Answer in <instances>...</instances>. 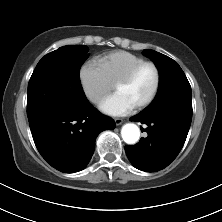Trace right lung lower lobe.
<instances>
[{
	"label": "right lung lower lobe",
	"mask_w": 222,
	"mask_h": 222,
	"mask_svg": "<svg viewBox=\"0 0 222 222\" xmlns=\"http://www.w3.org/2000/svg\"><path fill=\"white\" fill-rule=\"evenodd\" d=\"M27 116L41 156L64 173L83 170L93 155L98 134L115 128V122L88 100L71 108H36L27 111Z\"/></svg>",
	"instance_id": "98d812e1"
}]
</instances>
